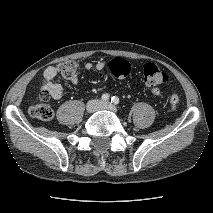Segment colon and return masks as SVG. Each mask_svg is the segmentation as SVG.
<instances>
[{"instance_id": "5ec220e1", "label": "colon", "mask_w": 213, "mask_h": 213, "mask_svg": "<svg viewBox=\"0 0 213 213\" xmlns=\"http://www.w3.org/2000/svg\"><path fill=\"white\" fill-rule=\"evenodd\" d=\"M109 68L112 74L118 78L127 77L131 72L130 64L121 58L112 60L109 64ZM59 72L64 78L72 79L76 77L78 72L77 63L73 60L65 61L60 64ZM141 73L144 83L150 87L164 84L168 79L167 74L154 63H146L143 65ZM48 100L49 93L43 90L38 102L30 108L31 116L42 121L51 120L54 113L52 107L48 103ZM179 101L180 98L178 94L174 93L170 95L169 104L172 109H176L178 107Z\"/></svg>"}]
</instances>
